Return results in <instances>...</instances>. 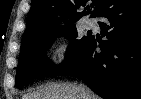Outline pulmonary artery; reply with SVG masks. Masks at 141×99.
<instances>
[{
  "label": "pulmonary artery",
  "instance_id": "e3ab8cb5",
  "mask_svg": "<svg viewBox=\"0 0 141 99\" xmlns=\"http://www.w3.org/2000/svg\"><path fill=\"white\" fill-rule=\"evenodd\" d=\"M94 26H95V23H94L93 20L87 19V20L85 21V28H86V29H91V28H93Z\"/></svg>",
  "mask_w": 141,
  "mask_h": 99
}]
</instances>
